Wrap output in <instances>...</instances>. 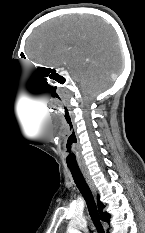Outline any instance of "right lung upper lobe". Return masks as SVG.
Instances as JSON below:
<instances>
[{"mask_svg":"<svg viewBox=\"0 0 145 233\" xmlns=\"http://www.w3.org/2000/svg\"><path fill=\"white\" fill-rule=\"evenodd\" d=\"M98 208H99V212H100V218L103 220V221H106V222H109V219H110V215L108 213H103L102 210L104 208V205L103 203H101L98 199Z\"/></svg>","mask_w":145,"mask_h":233,"instance_id":"cb5924a9","label":"right lung upper lobe"}]
</instances>
